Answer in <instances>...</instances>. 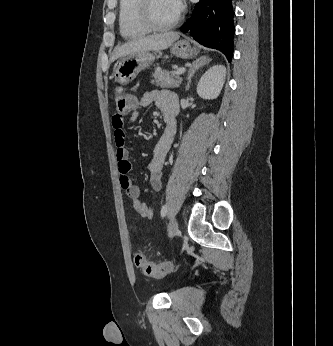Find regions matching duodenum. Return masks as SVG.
<instances>
[{"label":"duodenum","mask_w":333,"mask_h":346,"mask_svg":"<svg viewBox=\"0 0 333 346\" xmlns=\"http://www.w3.org/2000/svg\"><path fill=\"white\" fill-rule=\"evenodd\" d=\"M169 133H170V128H169V126L167 125L166 128H165V134L168 135Z\"/></svg>","instance_id":"1"}]
</instances>
